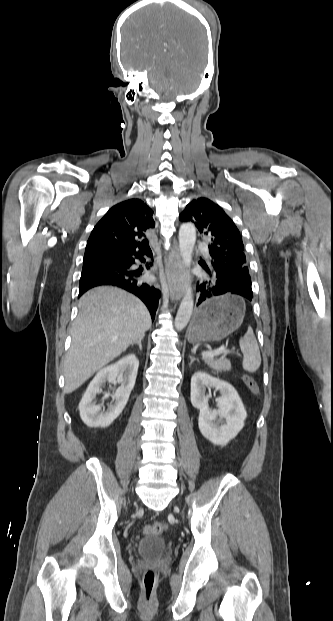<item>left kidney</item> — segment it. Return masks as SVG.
<instances>
[{
    "label": "left kidney",
    "mask_w": 333,
    "mask_h": 621,
    "mask_svg": "<svg viewBox=\"0 0 333 621\" xmlns=\"http://www.w3.org/2000/svg\"><path fill=\"white\" fill-rule=\"evenodd\" d=\"M219 390L217 410L208 405L206 389ZM191 403L199 409L198 426L201 434L215 445H227L243 429L247 417L243 402L235 388L205 372H196L191 378Z\"/></svg>",
    "instance_id": "1"
}]
</instances>
